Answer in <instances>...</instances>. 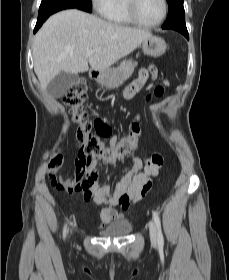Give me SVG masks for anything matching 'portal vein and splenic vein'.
Segmentation results:
<instances>
[{
    "mask_svg": "<svg viewBox=\"0 0 229 280\" xmlns=\"http://www.w3.org/2000/svg\"><path fill=\"white\" fill-rule=\"evenodd\" d=\"M95 51H96V50L87 51V52L85 53V56H86V57H89V56H91Z\"/></svg>",
    "mask_w": 229,
    "mask_h": 280,
    "instance_id": "18ae733b",
    "label": "portal vein and splenic vein"
}]
</instances>
